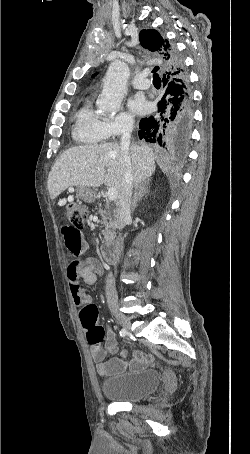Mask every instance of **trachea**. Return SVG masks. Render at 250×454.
I'll use <instances>...</instances> for the list:
<instances>
[{"label": "trachea", "instance_id": "3493384b", "mask_svg": "<svg viewBox=\"0 0 250 454\" xmlns=\"http://www.w3.org/2000/svg\"><path fill=\"white\" fill-rule=\"evenodd\" d=\"M159 70V67L156 66L154 67V69L152 70V73H153V83H158L161 81L159 75L157 74V71Z\"/></svg>", "mask_w": 250, "mask_h": 454}]
</instances>
